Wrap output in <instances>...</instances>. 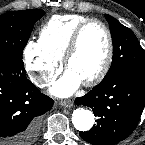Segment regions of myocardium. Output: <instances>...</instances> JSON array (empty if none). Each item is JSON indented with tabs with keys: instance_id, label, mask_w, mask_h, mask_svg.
<instances>
[{
	"instance_id": "f54148a6",
	"label": "myocardium",
	"mask_w": 145,
	"mask_h": 145,
	"mask_svg": "<svg viewBox=\"0 0 145 145\" xmlns=\"http://www.w3.org/2000/svg\"><path fill=\"white\" fill-rule=\"evenodd\" d=\"M93 23L99 24L103 28V30L106 34L107 52H106L104 61L101 65L100 69L93 76L82 81V83L85 86H93V85H96L97 83H99L106 76V74L108 73V71L111 67L113 55H114V42H113V37H112L109 27L103 21H101L97 18H89V19L85 20L75 29V31L70 39V42L66 48L64 56L62 58L63 66L66 70H68L69 63H70L72 57L75 55V53L78 50L80 39H81L84 29L88 25L93 24Z\"/></svg>"
}]
</instances>
